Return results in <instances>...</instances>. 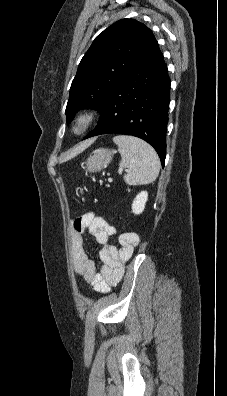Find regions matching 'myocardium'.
<instances>
[{
	"label": "myocardium",
	"mask_w": 227,
	"mask_h": 396,
	"mask_svg": "<svg viewBox=\"0 0 227 396\" xmlns=\"http://www.w3.org/2000/svg\"><path fill=\"white\" fill-rule=\"evenodd\" d=\"M98 119V113L94 109H87L77 113L71 122V131L74 135L85 133Z\"/></svg>",
	"instance_id": "f54148a6"
}]
</instances>
